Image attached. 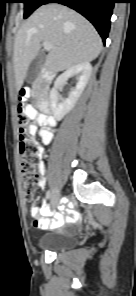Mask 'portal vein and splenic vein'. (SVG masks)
<instances>
[{
    "mask_svg": "<svg viewBox=\"0 0 136 296\" xmlns=\"http://www.w3.org/2000/svg\"><path fill=\"white\" fill-rule=\"evenodd\" d=\"M43 47H44L45 50L54 49L53 45L51 43H49V42H46V41L43 42Z\"/></svg>",
    "mask_w": 136,
    "mask_h": 296,
    "instance_id": "18ae733b",
    "label": "portal vein and splenic vein"
}]
</instances>
